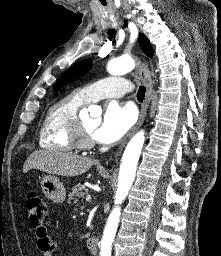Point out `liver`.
<instances>
[{"label": "liver", "mask_w": 221, "mask_h": 256, "mask_svg": "<svg viewBox=\"0 0 221 256\" xmlns=\"http://www.w3.org/2000/svg\"><path fill=\"white\" fill-rule=\"evenodd\" d=\"M94 161L87 157H81L61 151L39 150L33 152L23 165V172L32 169L61 176H78L87 172Z\"/></svg>", "instance_id": "1"}]
</instances>
